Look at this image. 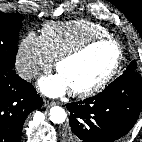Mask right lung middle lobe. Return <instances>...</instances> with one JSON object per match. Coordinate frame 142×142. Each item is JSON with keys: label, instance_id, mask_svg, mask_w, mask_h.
<instances>
[{"label": "right lung middle lobe", "instance_id": "1", "mask_svg": "<svg viewBox=\"0 0 142 142\" xmlns=\"http://www.w3.org/2000/svg\"><path fill=\"white\" fill-rule=\"evenodd\" d=\"M22 20L21 14L0 12V70L14 71Z\"/></svg>", "mask_w": 142, "mask_h": 142}]
</instances>
